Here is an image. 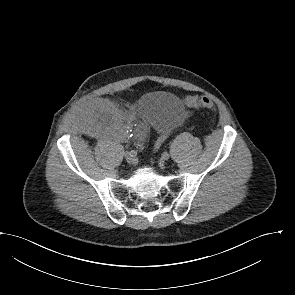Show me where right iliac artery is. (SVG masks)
<instances>
[{
	"instance_id": "82829eb1",
	"label": "right iliac artery",
	"mask_w": 295,
	"mask_h": 295,
	"mask_svg": "<svg viewBox=\"0 0 295 295\" xmlns=\"http://www.w3.org/2000/svg\"><path fill=\"white\" fill-rule=\"evenodd\" d=\"M129 153L131 156H136L137 152L135 150H131L130 152H127Z\"/></svg>"
}]
</instances>
